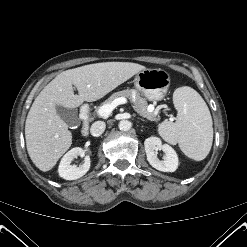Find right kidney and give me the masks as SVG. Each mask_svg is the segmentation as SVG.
Here are the masks:
<instances>
[{"mask_svg":"<svg viewBox=\"0 0 247 247\" xmlns=\"http://www.w3.org/2000/svg\"><path fill=\"white\" fill-rule=\"evenodd\" d=\"M85 152L80 147L72 148L61 159L58 167L59 176L66 180H76L85 175L90 169V158L85 156L84 163L82 165H71L74 158L78 156H84Z\"/></svg>","mask_w":247,"mask_h":247,"instance_id":"1","label":"right kidney"}]
</instances>
